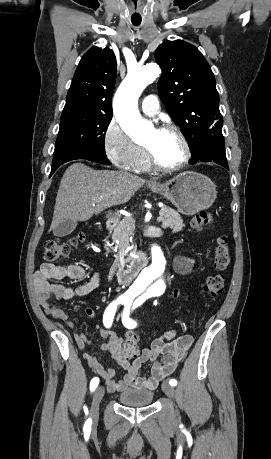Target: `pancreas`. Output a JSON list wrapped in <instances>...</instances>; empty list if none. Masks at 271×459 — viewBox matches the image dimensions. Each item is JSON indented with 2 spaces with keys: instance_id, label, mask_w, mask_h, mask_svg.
Masks as SVG:
<instances>
[{
  "instance_id": "cf45deb5",
  "label": "pancreas",
  "mask_w": 271,
  "mask_h": 459,
  "mask_svg": "<svg viewBox=\"0 0 271 459\" xmlns=\"http://www.w3.org/2000/svg\"><path fill=\"white\" fill-rule=\"evenodd\" d=\"M159 214L163 217L162 228H172L173 233H175V231H181V229L184 228L180 214L172 210V208H161ZM134 222V218H123L117 228L114 229L113 239L119 241L118 247L128 245L129 237L132 235V231L135 228ZM106 249L109 251L110 247H106ZM111 249H114V247H111Z\"/></svg>"
}]
</instances>
